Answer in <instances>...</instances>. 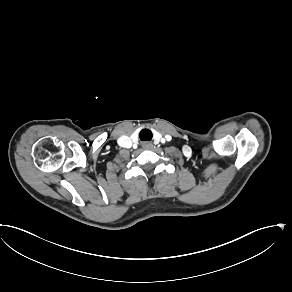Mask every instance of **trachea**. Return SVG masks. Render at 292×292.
Masks as SVG:
<instances>
[{"instance_id": "trachea-1", "label": "trachea", "mask_w": 292, "mask_h": 292, "mask_svg": "<svg viewBox=\"0 0 292 292\" xmlns=\"http://www.w3.org/2000/svg\"><path fill=\"white\" fill-rule=\"evenodd\" d=\"M139 137L142 141L144 140H151L152 139V133L150 130L148 129H143L140 134Z\"/></svg>"}]
</instances>
